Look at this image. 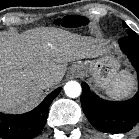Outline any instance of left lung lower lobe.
I'll list each match as a JSON object with an SVG mask.
<instances>
[{"label":"left lung lower lobe","mask_w":139,"mask_h":139,"mask_svg":"<svg viewBox=\"0 0 139 139\" xmlns=\"http://www.w3.org/2000/svg\"><path fill=\"white\" fill-rule=\"evenodd\" d=\"M138 76V92L127 101H105L93 94L86 83H82L81 105L90 123L99 131L124 133L139 122V36L132 31L119 40Z\"/></svg>","instance_id":"1"}]
</instances>
